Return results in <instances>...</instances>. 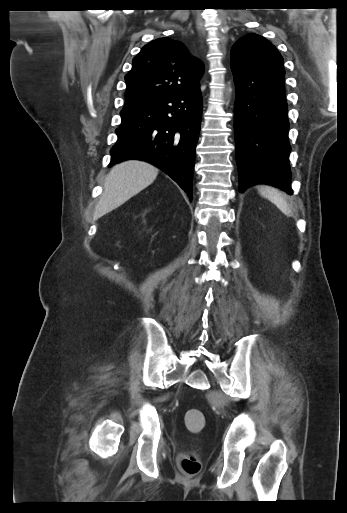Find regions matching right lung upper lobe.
Listing matches in <instances>:
<instances>
[{
  "label": "right lung upper lobe",
  "mask_w": 347,
  "mask_h": 513,
  "mask_svg": "<svg viewBox=\"0 0 347 513\" xmlns=\"http://www.w3.org/2000/svg\"><path fill=\"white\" fill-rule=\"evenodd\" d=\"M132 62V69L125 76L127 91L123 109L199 90L203 65L190 57L179 41L156 39L145 45Z\"/></svg>",
  "instance_id": "right-lung-upper-lobe-1"
}]
</instances>
